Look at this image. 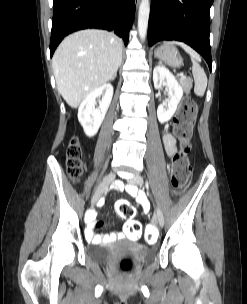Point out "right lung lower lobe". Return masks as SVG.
<instances>
[{
  "label": "right lung lower lobe",
  "mask_w": 247,
  "mask_h": 304,
  "mask_svg": "<svg viewBox=\"0 0 247 304\" xmlns=\"http://www.w3.org/2000/svg\"><path fill=\"white\" fill-rule=\"evenodd\" d=\"M134 14V0H53L50 56L66 35L85 28L114 30L126 45Z\"/></svg>",
  "instance_id": "right-lung-lower-lobe-1"
}]
</instances>
